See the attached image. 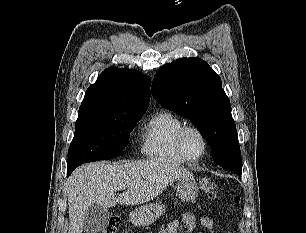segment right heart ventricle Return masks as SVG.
I'll list each match as a JSON object with an SVG mask.
<instances>
[{"instance_id":"obj_1","label":"right heart ventricle","mask_w":306,"mask_h":233,"mask_svg":"<svg viewBox=\"0 0 306 233\" xmlns=\"http://www.w3.org/2000/svg\"><path fill=\"white\" fill-rule=\"evenodd\" d=\"M184 122L174 113L163 110L153 115L143 128L142 152L149 158L172 163H183L176 139Z\"/></svg>"}]
</instances>
